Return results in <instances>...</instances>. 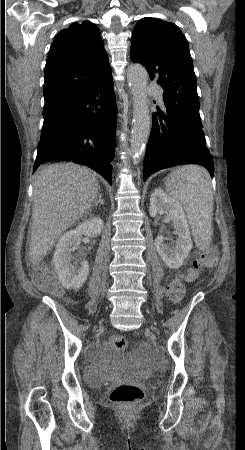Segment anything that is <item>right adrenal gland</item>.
<instances>
[{"instance_id": "right-adrenal-gland-1", "label": "right adrenal gland", "mask_w": 245, "mask_h": 450, "mask_svg": "<svg viewBox=\"0 0 245 450\" xmlns=\"http://www.w3.org/2000/svg\"><path fill=\"white\" fill-rule=\"evenodd\" d=\"M103 205L104 204V200H103V198H102V194L100 193L99 195H98V199L94 202V205L95 206H98V205Z\"/></svg>"}]
</instances>
